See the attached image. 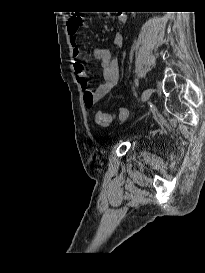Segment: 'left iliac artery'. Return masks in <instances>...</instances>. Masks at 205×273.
<instances>
[{"label":"left iliac artery","instance_id":"1","mask_svg":"<svg viewBox=\"0 0 205 273\" xmlns=\"http://www.w3.org/2000/svg\"><path fill=\"white\" fill-rule=\"evenodd\" d=\"M135 85H136V87H138V85H139V81H138V79H135Z\"/></svg>","mask_w":205,"mask_h":273}]
</instances>
